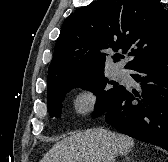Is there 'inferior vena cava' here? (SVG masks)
Wrapping results in <instances>:
<instances>
[{"label":"inferior vena cava","mask_w":168,"mask_h":162,"mask_svg":"<svg viewBox=\"0 0 168 162\" xmlns=\"http://www.w3.org/2000/svg\"><path fill=\"white\" fill-rule=\"evenodd\" d=\"M113 155H114L113 162H115V157H117L118 155L117 151H115Z\"/></svg>","instance_id":"1"}]
</instances>
